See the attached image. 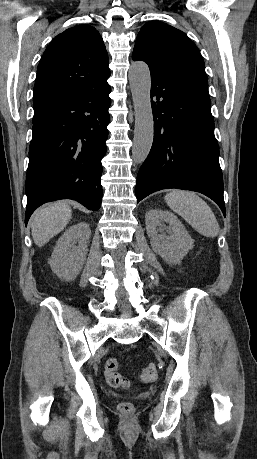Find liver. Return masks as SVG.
Here are the masks:
<instances>
[{"label": "liver", "mask_w": 257, "mask_h": 459, "mask_svg": "<svg viewBox=\"0 0 257 459\" xmlns=\"http://www.w3.org/2000/svg\"><path fill=\"white\" fill-rule=\"evenodd\" d=\"M72 210L66 202L58 201L37 210L31 221L34 243L44 246L51 238L60 233L69 223Z\"/></svg>", "instance_id": "6515ba94"}]
</instances>
